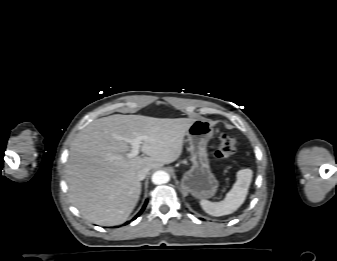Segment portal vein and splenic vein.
Instances as JSON below:
<instances>
[{"label": "portal vein and splenic vein", "instance_id": "1", "mask_svg": "<svg viewBox=\"0 0 337 261\" xmlns=\"http://www.w3.org/2000/svg\"><path fill=\"white\" fill-rule=\"evenodd\" d=\"M147 138L148 136L146 135L137 136L135 138H124V140L131 145V151L127 154V156L129 158L136 157L139 154L142 141L146 140Z\"/></svg>", "mask_w": 337, "mask_h": 261}]
</instances>
